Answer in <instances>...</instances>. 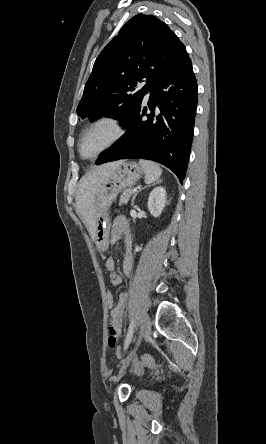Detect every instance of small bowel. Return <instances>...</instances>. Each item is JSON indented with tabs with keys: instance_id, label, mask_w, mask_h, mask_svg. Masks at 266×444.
I'll return each instance as SVG.
<instances>
[{
	"instance_id": "small-bowel-1",
	"label": "small bowel",
	"mask_w": 266,
	"mask_h": 444,
	"mask_svg": "<svg viewBox=\"0 0 266 444\" xmlns=\"http://www.w3.org/2000/svg\"><path fill=\"white\" fill-rule=\"evenodd\" d=\"M122 237L125 242V256L123 260L122 270L126 276H129L133 267V254H132V240L129 232V224L127 218L123 215H119L115 218L112 231L110 234V243H117ZM105 267L110 273L111 283L115 286L121 284V277L116 273V263L113 258H108L105 262ZM128 295L125 292H121L118 297L116 306L110 311L109 321V346L115 351H118L117 341L121 335L123 327V317L126 308Z\"/></svg>"
}]
</instances>
